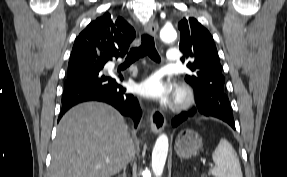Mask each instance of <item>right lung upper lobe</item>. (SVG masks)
<instances>
[{"label":"right lung upper lobe","instance_id":"obj_1","mask_svg":"<svg viewBox=\"0 0 287 177\" xmlns=\"http://www.w3.org/2000/svg\"><path fill=\"white\" fill-rule=\"evenodd\" d=\"M135 35L133 27L123 18L105 13L92 21L75 39L69 61L92 56L112 59L125 55Z\"/></svg>","mask_w":287,"mask_h":177}]
</instances>
